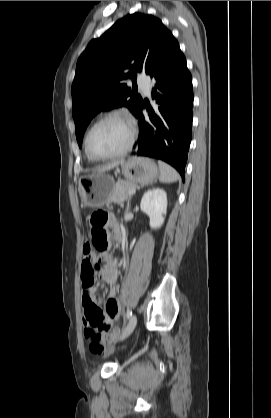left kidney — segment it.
Instances as JSON below:
<instances>
[{
	"label": "left kidney",
	"mask_w": 271,
	"mask_h": 418,
	"mask_svg": "<svg viewBox=\"0 0 271 418\" xmlns=\"http://www.w3.org/2000/svg\"><path fill=\"white\" fill-rule=\"evenodd\" d=\"M141 210L150 218V227L158 229L164 223V215L167 213V194L163 189L153 188L142 197Z\"/></svg>",
	"instance_id": "5707ae66"
}]
</instances>
